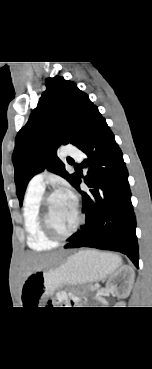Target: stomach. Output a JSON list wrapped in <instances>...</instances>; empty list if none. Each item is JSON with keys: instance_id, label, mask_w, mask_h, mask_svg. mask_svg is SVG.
Here are the masks:
<instances>
[{"instance_id": "1", "label": "stomach", "mask_w": 152, "mask_h": 369, "mask_svg": "<svg viewBox=\"0 0 152 369\" xmlns=\"http://www.w3.org/2000/svg\"><path fill=\"white\" fill-rule=\"evenodd\" d=\"M120 263L121 259L111 253L77 252L58 266L31 273L22 284V298L37 303L65 284H85L106 278Z\"/></svg>"}]
</instances>
